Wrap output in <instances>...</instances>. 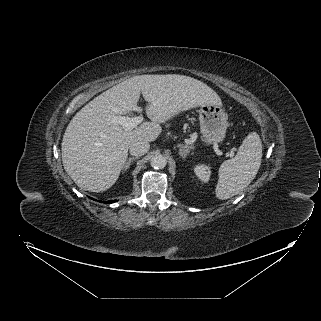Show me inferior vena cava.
<instances>
[{
    "mask_svg": "<svg viewBox=\"0 0 321 321\" xmlns=\"http://www.w3.org/2000/svg\"><path fill=\"white\" fill-rule=\"evenodd\" d=\"M150 144L147 141H136L130 145V153L136 157H140L148 152Z\"/></svg>",
    "mask_w": 321,
    "mask_h": 321,
    "instance_id": "1",
    "label": "inferior vena cava"
}]
</instances>
